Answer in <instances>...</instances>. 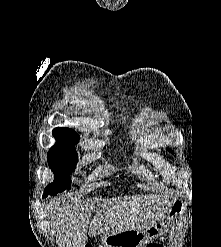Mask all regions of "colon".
<instances>
[{
    "instance_id": "5ec220e1",
    "label": "colon",
    "mask_w": 221,
    "mask_h": 247,
    "mask_svg": "<svg viewBox=\"0 0 221 247\" xmlns=\"http://www.w3.org/2000/svg\"><path fill=\"white\" fill-rule=\"evenodd\" d=\"M86 247H92V245L88 244ZM147 247H151V245H148Z\"/></svg>"
}]
</instances>
